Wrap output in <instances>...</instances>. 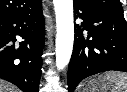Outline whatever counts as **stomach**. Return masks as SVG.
Returning a JSON list of instances; mask_svg holds the SVG:
<instances>
[{
  "mask_svg": "<svg viewBox=\"0 0 127 92\" xmlns=\"http://www.w3.org/2000/svg\"><path fill=\"white\" fill-rule=\"evenodd\" d=\"M111 86L112 84L110 82L99 77L98 79L89 80L83 92H106Z\"/></svg>",
  "mask_w": 127,
  "mask_h": 92,
  "instance_id": "obj_1",
  "label": "stomach"
}]
</instances>
